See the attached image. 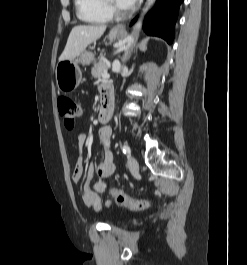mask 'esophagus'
Listing matches in <instances>:
<instances>
[{
  "instance_id": "34e87169",
  "label": "esophagus",
  "mask_w": 247,
  "mask_h": 265,
  "mask_svg": "<svg viewBox=\"0 0 247 265\" xmlns=\"http://www.w3.org/2000/svg\"><path fill=\"white\" fill-rule=\"evenodd\" d=\"M113 31H117V32H123L125 31V25L123 24H118L113 28Z\"/></svg>"
}]
</instances>
